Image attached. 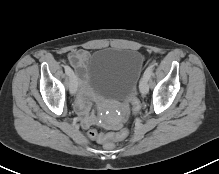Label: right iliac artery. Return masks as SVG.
<instances>
[{
	"instance_id": "82829eb1",
	"label": "right iliac artery",
	"mask_w": 219,
	"mask_h": 174,
	"mask_svg": "<svg viewBox=\"0 0 219 174\" xmlns=\"http://www.w3.org/2000/svg\"><path fill=\"white\" fill-rule=\"evenodd\" d=\"M64 68H65L66 74L70 76L73 72L70 66L66 65Z\"/></svg>"
}]
</instances>
